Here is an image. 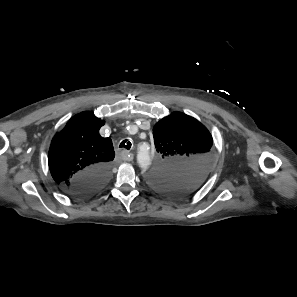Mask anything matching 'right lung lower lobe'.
<instances>
[{
	"label": "right lung lower lobe",
	"mask_w": 297,
	"mask_h": 297,
	"mask_svg": "<svg viewBox=\"0 0 297 297\" xmlns=\"http://www.w3.org/2000/svg\"><path fill=\"white\" fill-rule=\"evenodd\" d=\"M111 168L108 165L91 167L77 174L69 185L68 191L77 197H86L99 191L108 181Z\"/></svg>",
	"instance_id": "right-lung-lower-lobe-1"
}]
</instances>
